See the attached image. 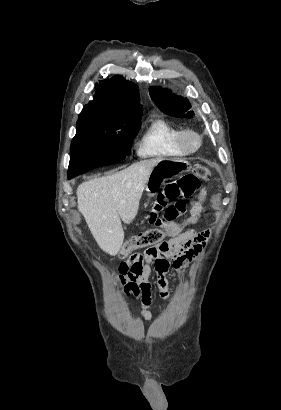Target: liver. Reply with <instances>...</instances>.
<instances>
[{"label":"liver","mask_w":281,"mask_h":410,"mask_svg":"<svg viewBox=\"0 0 281 410\" xmlns=\"http://www.w3.org/2000/svg\"><path fill=\"white\" fill-rule=\"evenodd\" d=\"M158 160H142L78 186V210L99 247L109 255L120 251L124 241L121 220L130 224L135 219L147 179Z\"/></svg>","instance_id":"1"}]
</instances>
